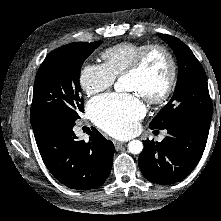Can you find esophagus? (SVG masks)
Returning <instances> with one entry per match:
<instances>
[{
	"instance_id": "1",
	"label": "esophagus",
	"mask_w": 221,
	"mask_h": 221,
	"mask_svg": "<svg viewBox=\"0 0 221 221\" xmlns=\"http://www.w3.org/2000/svg\"><path fill=\"white\" fill-rule=\"evenodd\" d=\"M113 144H114V146H115V148L118 150L121 146H123L124 145V143L123 142H120V141H113Z\"/></svg>"
}]
</instances>
